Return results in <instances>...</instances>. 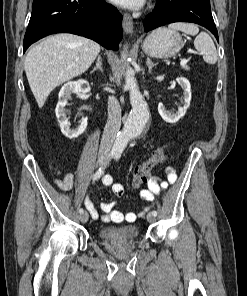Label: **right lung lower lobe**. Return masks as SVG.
<instances>
[{
	"mask_svg": "<svg viewBox=\"0 0 247 296\" xmlns=\"http://www.w3.org/2000/svg\"><path fill=\"white\" fill-rule=\"evenodd\" d=\"M67 32L90 38L118 50L122 15L104 0H34L23 51L53 33Z\"/></svg>",
	"mask_w": 247,
	"mask_h": 296,
	"instance_id": "1",
	"label": "right lung lower lobe"
}]
</instances>
